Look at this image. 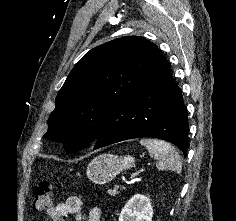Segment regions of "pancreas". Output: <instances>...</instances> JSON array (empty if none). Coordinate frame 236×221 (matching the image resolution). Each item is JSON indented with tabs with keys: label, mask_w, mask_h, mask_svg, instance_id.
Instances as JSON below:
<instances>
[{
	"label": "pancreas",
	"mask_w": 236,
	"mask_h": 221,
	"mask_svg": "<svg viewBox=\"0 0 236 221\" xmlns=\"http://www.w3.org/2000/svg\"><path fill=\"white\" fill-rule=\"evenodd\" d=\"M118 187L116 186V187H114L113 189H109L108 191H107V193L109 194V195H111V196H115L117 193H118Z\"/></svg>",
	"instance_id": "pancreas-1"
}]
</instances>
